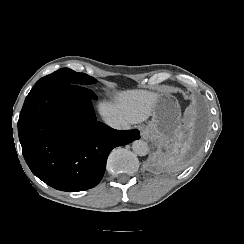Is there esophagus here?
I'll list each match as a JSON object with an SVG mask.
<instances>
[{"label": "esophagus", "instance_id": "1", "mask_svg": "<svg viewBox=\"0 0 244 244\" xmlns=\"http://www.w3.org/2000/svg\"><path fill=\"white\" fill-rule=\"evenodd\" d=\"M141 135H142V137H143L145 140H148V136H149V131H148V129H146V128L142 129V131H141Z\"/></svg>", "mask_w": 244, "mask_h": 244}]
</instances>
